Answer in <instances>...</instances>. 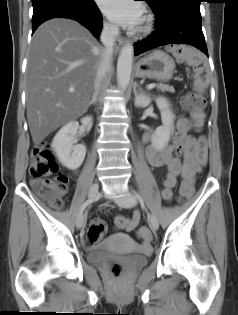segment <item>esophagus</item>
I'll use <instances>...</instances> for the list:
<instances>
[{"label":"esophagus","instance_id":"esophagus-1","mask_svg":"<svg viewBox=\"0 0 238 315\" xmlns=\"http://www.w3.org/2000/svg\"><path fill=\"white\" fill-rule=\"evenodd\" d=\"M123 43H124L123 38H116L115 42H114V49H115V51H119L120 48L122 47Z\"/></svg>","mask_w":238,"mask_h":315}]
</instances>
